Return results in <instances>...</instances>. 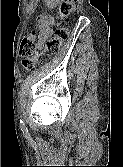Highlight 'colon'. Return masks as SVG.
Wrapping results in <instances>:
<instances>
[{"mask_svg": "<svg viewBox=\"0 0 123 167\" xmlns=\"http://www.w3.org/2000/svg\"><path fill=\"white\" fill-rule=\"evenodd\" d=\"M75 0H62L59 6L60 21L55 29V34L48 39L46 52L56 53L69 37L70 18L75 12ZM19 53L23 58V67L26 72L33 71L41 62V57L35 53V34H26L20 43Z\"/></svg>", "mask_w": 123, "mask_h": 167, "instance_id": "obj_1", "label": "colon"}]
</instances>
